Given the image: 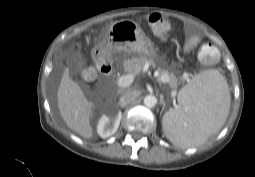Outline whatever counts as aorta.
I'll use <instances>...</instances> for the list:
<instances>
[{"mask_svg":"<svg viewBox=\"0 0 255 177\" xmlns=\"http://www.w3.org/2000/svg\"><path fill=\"white\" fill-rule=\"evenodd\" d=\"M157 104V98L154 95H147L144 98V105L153 108Z\"/></svg>","mask_w":255,"mask_h":177,"instance_id":"762f6f07","label":"aorta"}]
</instances>
